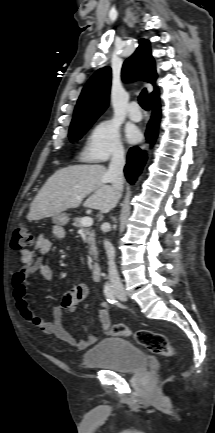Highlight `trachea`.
Segmentation results:
<instances>
[{"label": "trachea", "instance_id": "3493384b", "mask_svg": "<svg viewBox=\"0 0 215 433\" xmlns=\"http://www.w3.org/2000/svg\"><path fill=\"white\" fill-rule=\"evenodd\" d=\"M139 104L140 106L145 109V110H149V101H148V94H147V90L143 89L142 92L139 95L138 98Z\"/></svg>", "mask_w": 215, "mask_h": 433}]
</instances>
